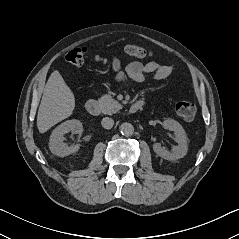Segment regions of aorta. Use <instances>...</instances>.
Listing matches in <instances>:
<instances>
[{"label": "aorta", "instance_id": "1", "mask_svg": "<svg viewBox=\"0 0 239 239\" xmlns=\"http://www.w3.org/2000/svg\"><path fill=\"white\" fill-rule=\"evenodd\" d=\"M120 131L125 136H131L134 133V127L131 123L124 122L120 126Z\"/></svg>", "mask_w": 239, "mask_h": 239}]
</instances>
